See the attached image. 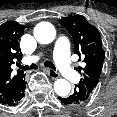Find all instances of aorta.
Segmentation results:
<instances>
[{
  "label": "aorta",
  "mask_w": 117,
  "mask_h": 117,
  "mask_svg": "<svg viewBox=\"0 0 117 117\" xmlns=\"http://www.w3.org/2000/svg\"><path fill=\"white\" fill-rule=\"evenodd\" d=\"M34 37L41 44H49L56 37V30L49 22H41L34 28ZM54 91L60 97L67 96L71 91L70 83L65 79H57L54 83Z\"/></svg>",
  "instance_id": "1"
}]
</instances>
